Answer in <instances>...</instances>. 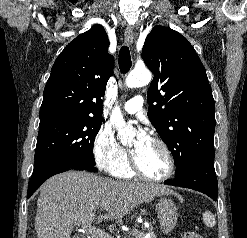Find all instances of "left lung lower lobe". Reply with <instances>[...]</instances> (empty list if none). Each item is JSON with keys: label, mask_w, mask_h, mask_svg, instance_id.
<instances>
[{"label": "left lung lower lobe", "mask_w": 247, "mask_h": 238, "mask_svg": "<svg viewBox=\"0 0 247 238\" xmlns=\"http://www.w3.org/2000/svg\"><path fill=\"white\" fill-rule=\"evenodd\" d=\"M168 185L190 188L200 191L214 201L217 200V177L214 163L194 162L190 164L182 175L174 181H167Z\"/></svg>", "instance_id": "0a47b994"}]
</instances>
